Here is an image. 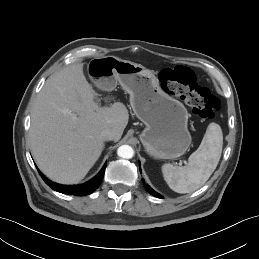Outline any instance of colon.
I'll use <instances>...</instances> for the list:
<instances>
[{
    "label": "colon",
    "instance_id": "obj_1",
    "mask_svg": "<svg viewBox=\"0 0 259 259\" xmlns=\"http://www.w3.org/2000/svg\"><path fill=\"white\" fill-rule=\"evenodd\" d=\"M159 81L167 93L184 101L194 114L204 120L212 119L219 110V100L197 83L195 74L187 67L164 68Z\"/></svg>",
    "mask_w": 259,
    "mask_h": 259
}]
</instances>
